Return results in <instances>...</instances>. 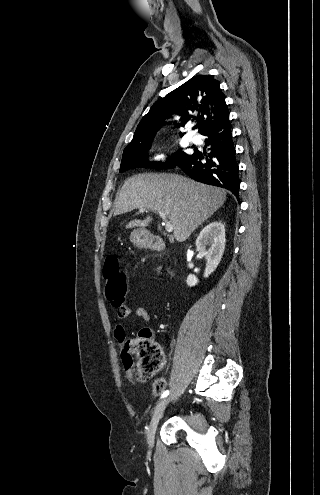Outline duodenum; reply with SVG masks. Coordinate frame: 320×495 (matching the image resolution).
Segmentation results:
<instances>
[{
  "label": "duodenum",
  "instance_id": "duodenum-1",
  "mask_svg": "<svg viewBox=\"0 0 320 495\" xmlns=\"http://www.w3.org/2000/svg\"><path fill=\"white\" fill-rule=\"evenodd\" d=\"M144 242L153 250L161 251L164 249V243L162 240L154 235L146 234L143 237Z\"/></svg>",
  "mask_w": 320,
  "mask_h": 495
}]
</instances>
